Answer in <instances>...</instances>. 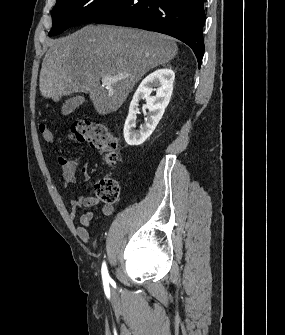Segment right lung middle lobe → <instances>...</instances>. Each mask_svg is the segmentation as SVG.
<instances>
[{"label": "right lung middle lobe", "mask_w": 285, "mask_h": 335, "mask_svg": "<svg viewBox=\"0 0 285 335\" xmlns=\"http://www.w3.org/2000/svg\"><path fill=\"white\" fill-rule=\"evenodd\" d=\"M120 0H57L52 11L50 36L61 34L69 27L87 23L113 7Z\"/></svg>", "instance_id": "obj_1"}]
</instances>
